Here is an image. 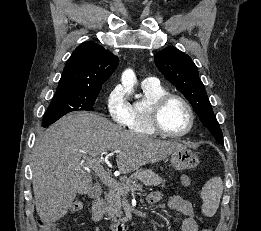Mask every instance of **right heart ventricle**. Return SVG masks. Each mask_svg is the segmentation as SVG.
<instances>
[{"instance_id":"e07e8e85","label":"right heart ventricle","mask_w":261,"mask_h":231,"mask_svg":"<svg viewBox=\"0 0 261 231\" xmlns=\"http://www.w3.org/2000/svg\"><path fill=\"white\" fill-rule=\"evenodd\" d=\"M143 97L129 106V116L126 127L129 131L141 136H155L157 132L150 123V111L154 102L167 93L159 84L142 86Z\"/></svg>"}]
</instances>
